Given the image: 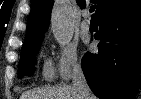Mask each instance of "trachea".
<instances>
[{
  "instance_id": "1",
  "label": "trachea",
  "mask_w": 141,
  "mask_h": 99,
  "mask_svg": "<svg viewBox=\"0 0 141 99\" xmlns=\"http://www.w3.org/2000/svg\"><path fill=\"white\" fill-rule=\"evenodd\" d=\"M95 8H96L95 5L91 6V7H90V13L94 12ZM92 20H95L94 14H92Z\"/></svg>"
}]
</instances>
